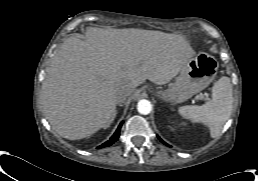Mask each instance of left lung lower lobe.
<instances>
[{
    "label": "left lung lower lobe",
    "instance_id": "0a47b994",
    "mask_svg": "<svg viewBox=\"0 0 258 181\" xmlns=\"http://www.w3.org/2000/svg\"><path fill=\"white\" fill-rule=\"evenodd\" d=\"M160 139V138H159ZM160 141L162 142V143H164L165 145H167V146H169L167 143H165L162 139H160Z\"/></svg>",
    "mask_w": 258,
    "mask_h": 181
}]
</instances>
